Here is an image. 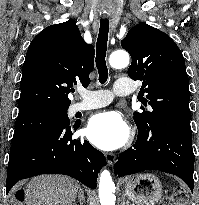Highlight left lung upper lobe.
Here are the masks:
<instances>
[{
    "label": "left lung upper lobe",
    "mask_w": 199,
    "mask_h": 205,
    "mask_svg": "<svg viewBox=\"0 0 199 205\" xmlns=\"http://www.w3.org/2000/svg\"><path fill=\"white\" fill-rule=\"evenodd\" d=\"M132 58L128 75L143 81L141 92L153 111L134 112L140 130L149 129L159 118L191 119L190 91L184 57L164 32L139 23L121 41Z\"/></svg>",
    "instance_id": "obj_1"
}]
</instances>
